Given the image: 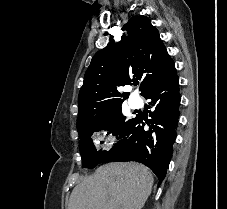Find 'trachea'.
Listing matches in <instances>:
<instances>
[{
	"instance_id": "3493384b",
	"label": "trachea",
	"mask_w": 227,
	"mask_h": 209,
	"mask_svg": "<svg viewBox=\"0 0 227 209\" xmlns=\"http://www.w3.org/2000/svg\"><path fill=\"white\" fill-rule=\"evenodd\" d=\"M134 85H138V80L133 81Z\"/></svg>"
}]
</instances>
